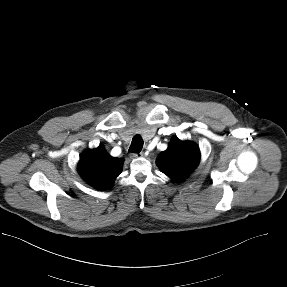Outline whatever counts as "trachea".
I'll use <instances>...</instances> for the list:
<instances>
[{
	"mask_svg": "<svg viewBox=\"0 0 287 287\" xmlns=\"http://www.w3.org/2000/svg\"><path fill=\"white\" fill-rule=\"evenodd\" d=\"M143 147V139L140 135H135L133 137L132 143L130 145L129 151L132 153H139Z\"/></svg>",
	"mask_w": 287,
	"mask_h": 287,
	"instance_id": "1",
	"label": "trachea"
}]
</instances>
